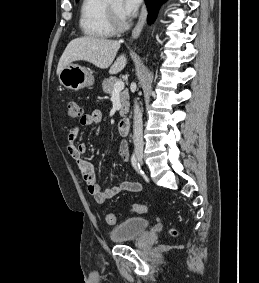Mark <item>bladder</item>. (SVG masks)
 Segmentation results:
<instances>
[{
  "label": "bladder",
  "mask_w": 259,
  "mask_h": 283,
  "mask_svg": "<svg viewBox=\"0 0 259 283\" xmlns=\"http://www.w3.org/2000/svg\"><path fill=\"white\" fill-rule=\"evenodd\" d=\"M150 227V222L146 218L130 217L114 226L111 230V237L115 242H122L138 237L146 232Z\"/></svg>",
  "instance_id": "1"
}]
</instances>
